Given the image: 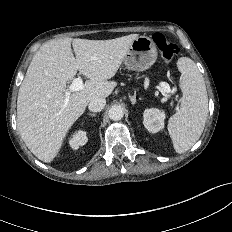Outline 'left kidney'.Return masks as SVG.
I'll use <instances>...</instances> for the list:
<instances>
[{"label":"left kidney","instance_id":"obj_1","mask_svg":"<svg viewBox=\"0 0 232 232\" xmlns=\"http://www.w3.org/2000/svg\"><path fill=\"white\" fill-rule=\"evenodd\" d=\"M143 118L145 128L152 133H156L164 128L165 113L160 109H146L143 113Z\"/></svg>","mask_w":232,"mask_h":232}]
</instances>
